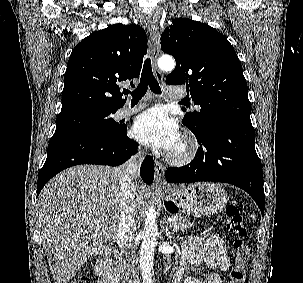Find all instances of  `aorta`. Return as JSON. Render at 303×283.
I'll return each mask as SVG.
<instances>
[{
  "label": "aorta",
  "instance_id": "aorta-1",
  "mask_svg": "<svg viewBox=\"0 0 303 283\" xmlns=\"http://www.w3.org/2000/svg\"><path fill=\"white\" fill-rule=\"evenodd\" d=\"M158 66L161 70L170 72L174 69L175 62L172 57L164 55L158 60ZM157 235V215L154 207L151 206L146 212L139 259L143 283H154L151 275L153 271Z\"/></svg>",
  "mask_w": 303,
  "mask_h": 283
}]
</instances>
